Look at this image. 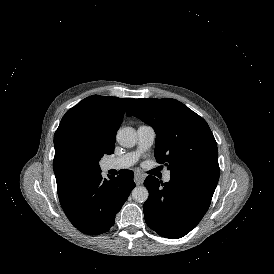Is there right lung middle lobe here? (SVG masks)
I'll return each mask as SVG.
<instances>
[{
	"instance_id": "right-lung-middle-lobe-1",
	"label": "right lung middle lobe",
	"mask_w": 274,
	"mask_h": 274,
	"mask_svg": "<svg viewBox=\"0 0 274 274\" xmlns=\"http://www.w3.org/2000/svg\"><path fill=\"white\" fill-rule=\"evenodd\" d=\"M101 157H103V152L102 151H98V153L95 154V165H96V168L98 170H100L98 162L101 159Z\"/></svg>"
}]
</instances>
